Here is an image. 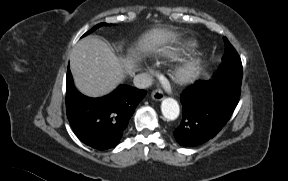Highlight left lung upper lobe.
Segmentation results:
<instances>
[{"label":"left lung upper lobe","instance_id":"obj_1","mask_svg":"<svg viewBox=\"0 0 288 181\" xmlns=\"http://www.w3.org/2000/svg\"><path fill=\"white\" fill-rule=\"evenodd\" d=\"M224 42L225 54L223 56V64L221 65V72L216 81H225L234 85H241L243 68L240 57L225 37Z\"/></svg>","mask_w":288,"mask_h":181}]
</instances>
